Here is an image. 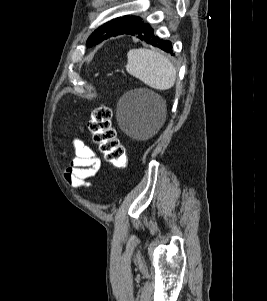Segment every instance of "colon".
Segmentation results:
<instances>
[{
	"instance_id": "5ec220e1",
	"label": "colon",
	"mask_w": 267,
	"mask_h": 301,
	"mask_svg": "<svg viewBox=\"0 0 267 301\" xmlns=\"http://www.w3.org/2000/svg\"><path fill=\"white\" fill-rule=\"evenodd\" d=\"M88 129L106 161L123 169L128 165L125 148L117 138L111 123V110L105 105L95 107L88 121Z\"/></svg>"
}]
</instances>
